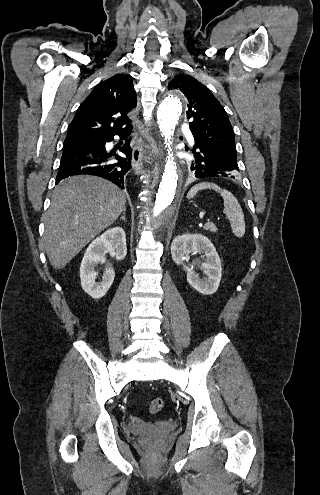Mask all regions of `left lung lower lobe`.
Masks as SVG:
<instances>
[{"label":"left lung lower lobe","mask_w":320,"mask_h":495,"mask_svg":"<svg viewBox=\"0 0 320 495\" xmlns=\"http://www.w3.org/2000/svg\"><path fill=\"white\" fill-rule=\"evenodd\" d=\"M192 153L194 161L191 163L190 170L195 177L229 176L235 178L238 176L240 170L237 159L212 149L197 140H195Z\"/></svg>","instance_id":"left-lung-lower-lobe-1"}]
</instances>
